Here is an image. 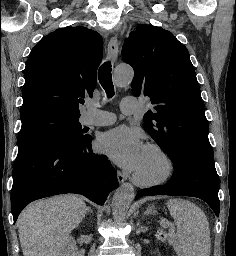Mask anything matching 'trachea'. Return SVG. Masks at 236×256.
<instances>
[{
  "label": "trachea",
  "mask_w": 236,
  "mask_h": 256,
  "mask_svg": "<svg viewBox=\"0 0 236 256\" xmlns=\"http://www.w3.org/2000/svg\"><path fill=\"white\" fill-rule=\"evenodd\" d=\"M98 78L101 86L104 88L107 97L112 98L115 94L114 86L112 82V75H111V65L110 62H105L99 68L98 71ZM84 101H82V104Z\"/></svg>",
  "instance_id": "obj_1"
}]
</instances>
